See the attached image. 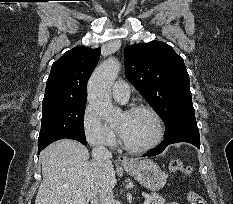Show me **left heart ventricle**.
<instances>
[{"mask_svg": "<svg viewBox=\"0 0 233 204\" xmlns=\"http://www.w3.org/2000/svg\"><path fill=\"white\" fill-rule=\"evenodd\" d=\"M124 138L134 146L150 143L156 136L157 127L153 117L147 112L127 114L123 112L115 123Z\"/></svg>", "mask_w": 233, "mask_h": 204, "instance_id": "1", "label": "left heart ventricle"}]
</instances>
